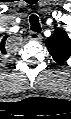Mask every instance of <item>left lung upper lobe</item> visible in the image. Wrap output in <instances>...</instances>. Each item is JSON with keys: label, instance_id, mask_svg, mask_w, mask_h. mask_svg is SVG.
Listing matches in <instances>:
<instances>
[{"label": "left lung upper lobe", "instance_id": "obj_1", "mask_svg": "<svg viewBox=\"0 0 71 119\" xmlns=\"http://www.w3.org/2000/svg\"><path fill=\"white\" fill-rule=\"evenodd\" d=\"M46 46L57 64H63L71 56V39L61 28H56L47 38Z\"/></svg>", "mask_w": 71, "mask_h": 119}]
</instances>
